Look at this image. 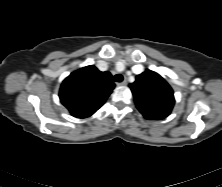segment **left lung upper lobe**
I'll return each instance as SVG.
<instances>
[{
  "instance_id": "left-lung-upper-lobe-1",
  "label": "left lung upper lobe",
  "mask_w": 222,
  "mask_h": 187,
  "mask_svg": "<svg viewBox=\"0 0 222 187\" xmlns=\"http://www.w3.org/2000/svg\"><path fill=\"white\" fill-rule=\"evenodd\" d=\"M129 87L138 110L144 116L165 118L171 113L175 103L173 90L156 72L145 70Z\"/></svg>"
}]
</instances>
